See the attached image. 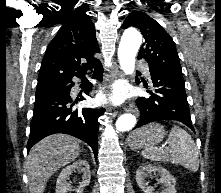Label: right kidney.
Wrapping results in <instances>:
<instances>
[{
  "instance_id": "1",
  "label": "right kidney",
  "mask_w": 221,
  "mask_h": 193,
  "mask_svg": "<svg viewBox=\"0 0 221 193\" xmlns=\"http://www.w3.org/2000/svg\"><path fill=\"white\" fill-rule=\"evenodd\" d=\"M76 170L83 173V180L77 188L72 189V186L68 183V177ZM90 179L91 173L89 163L86 160L79 159L61 171L56 182V193H68L72 190L76 193H83L84 188L89 185Z\"/></svg>"
}]
</instances>
